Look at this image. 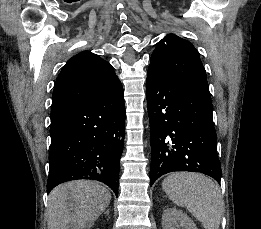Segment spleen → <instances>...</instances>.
<instances>
[{"label":"spleen","instance_id":"3e777b00","mask_svg":"<svg viewBox=\"0 0 261 229\" xmlns=\"http://www.w3.org/2000/svg\"><path fill=\"white\" fill-rule=\"evenodd\" d=\"M162 187L170 201L186 207L204 229H219L222 195L212 179L201 173H168Z\"/></svg>","mask_w":261,"mask_h":229}]
</instances>
